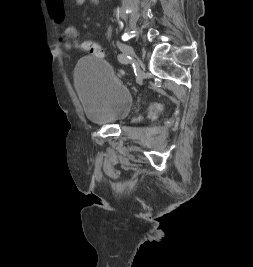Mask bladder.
I'll return each mask as SVG.
<instances>
[{
	"label": "bladder",
	"mask_w": 253,
	"mask_h": 267,
	"mask_svg": "<svg viewBox=\"0 0 253 267\" xmlns=\"http://www.w3.org/2000/svg\"><path fill=\"white\" fill-rule=\"evenodd\" d=\"M76 89L86 118L95 124L116 121L132 104V93L102 58H82L74 72Z\"/></svg>",
	"instance_id": "31cf9c89"
}]
</instances>
